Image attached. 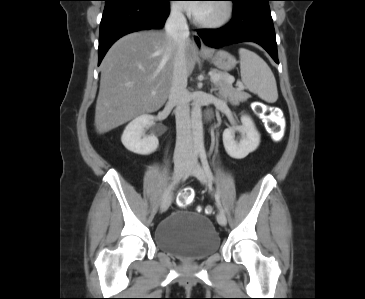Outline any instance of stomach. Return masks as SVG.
I'll return each instance as SVG.
<instances>
[{
  "label": "stomach",
  "mask_w": 365,
  "mask_h": 299,
  "mask_svg": "<svg viewBox=\"0 0 365 299\" xmlns=\"http://www.w3.org/2000/svg\"><path fill=\"white\" fill-rule=\"evenodd\" d=\"M212 63L220 70L226 72L233 69L236 65V59L226 51H218L215 54L208 55Z\"/></svg>",
  "instance_id": "obj_1"
}]
</instances>
